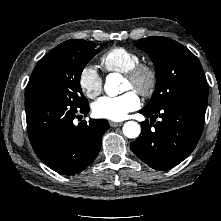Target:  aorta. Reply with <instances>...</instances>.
<instances>
[{
  "mask_svg": "<svg viewBox=\"0 0 221 221\" xmlns=\"http://www.w3.org/2000/svg\"><path fill=\"white\" fill-rule=\"evenodd\" d=\"M121 75L118 73H110L106 77L104 90L109 96H116L119 94V84L121 83ZM123 134L127 138H137L140 135L141 127L135 121H128L123 125Z\"/></svg>",
  "mask_w": 221,
  "mask_h": 221,
  "instance_id": "762f6f07",
  "label": "aorta"
}]
</instances>
